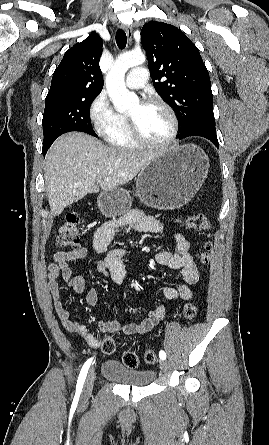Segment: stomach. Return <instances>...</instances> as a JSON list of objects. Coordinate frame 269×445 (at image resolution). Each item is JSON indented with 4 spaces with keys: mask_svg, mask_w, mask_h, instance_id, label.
<instances>
[{
    "mask_svg": "<svg viewBox=\"0 0 269 445\" xmlns=\"http://www.w3.org/2000/svg\"><path fill=\"white\" fill-rule=\"evenodd\" d=\"M209 167L208 156L193 144L167 148L139 172L137 196L155 209L181 208L201 188ZM97 203L105 217L115 219L128 212L132 200L129 192L117 187L100 193Z\"/></svg>",
    "mask_w": 269,
    "mask_h": 445,
    "instance_id": "obj_1",
    "label": "stomach"
}]
</instances>
